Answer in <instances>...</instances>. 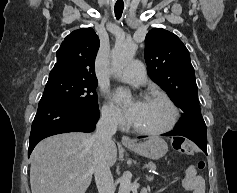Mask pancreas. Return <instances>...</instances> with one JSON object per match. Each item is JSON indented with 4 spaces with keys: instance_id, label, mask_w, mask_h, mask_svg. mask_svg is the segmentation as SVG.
<instances>
[{
    "instance_id": "obj_1",
    "label": "pancreas",
    "mask_w": 237,
    "mask_h": 193,
    "mask_svg": "<svg viewBox=\"0 0 237 193\" xmlns=\"http://www.w3.org/2000/svg\"><path fill=\"white\" fill-rule=\"evenodd\" d=\"M147 167H148L149 169H153V170L156 169V165H155L154 163H152V162H149V163L147 164Z\"/></svg>"
}]
</instances>
